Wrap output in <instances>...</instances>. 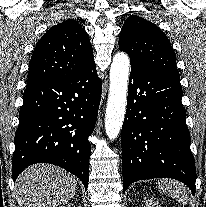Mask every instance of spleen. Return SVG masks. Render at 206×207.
<instances>
[{"instance_id": "3e777b00", "label": "spleen", "mask_w": 206, "mask_h": 207, "mask_svg": "<svg viewBox=\"0 0 206 207\" xmlns=\"http://www.w3.org/2000/svg\"><path fill=\"white\" fill-rule=\"evenodd\" d=\"M158 188L168 196L175 198L183 204L188 199L187 190L179 183L172 180H159L157 182Z\"/></svg>"}]
</instances>
